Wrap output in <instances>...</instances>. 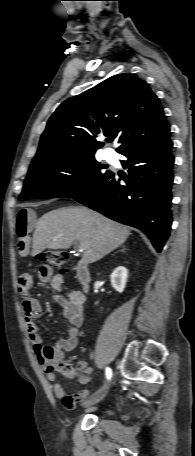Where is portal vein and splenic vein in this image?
<instances>
[{"label": "portal vein and splenic vein", "instance_id": "1", "mask_svg": "<svg viewBox=\"0 0 195 456\" xmlns=\"http://www.w3.org/2000/svg\"><path fill=\"white\" fill-rule=\"evenodd\" d=\"M86 249V245L84 243L79 242V250L84 251Z\"/></svg>", "mask_w": 195, "mask_h": 456}]
</instances>
